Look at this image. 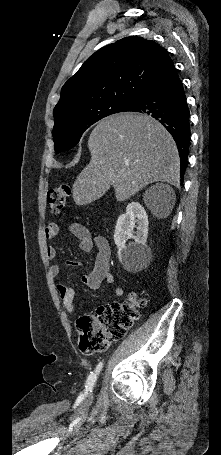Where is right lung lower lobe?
I'll use <instances>...</instances> for the list:
<instances>
[{"label":"right lung lower lobe","mask_w":221,"mask_h":455,"mask_svg":"<svg viewBox=\"0 0 221 455\" xmlns=\"http://www.w3.org/2000/svg\"><path fill=\"white\" fill-rule=\"evenodd\" d=\"M124 111L151 115L170 132L180 156L182 184L188 164L191 135L190 112L183 85L170 57Z\"/></svg>","instance_id":"obj_1"}]
</instances>
